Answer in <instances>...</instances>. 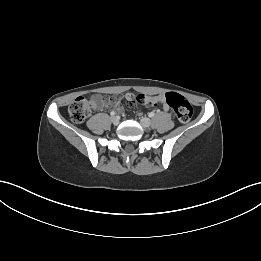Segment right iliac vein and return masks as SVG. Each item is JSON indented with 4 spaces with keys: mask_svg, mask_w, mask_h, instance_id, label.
<instances>
[{
    "mask_svg": "<svg viewBox=\"0 0 261 261\" xmlns=\"http://www.w3.org/2000/svg\"><path fill=\"white\" fill-rule=\"evenodd\" d=\"M111 122L114 124V125H118L119 123V118L117 116H112L111 117Z\"/></svg>",
    "mask_w": 261,
    "mask_h": 261,
    "instance_id": "63e3f726",
    "label": "right iliac vein"
}]
</instances>
